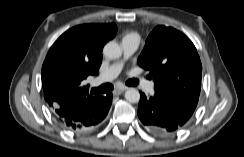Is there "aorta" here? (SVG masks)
<instances>
[{
  "instance_id": "obj_1",
  "label": "aorta",
  "mask_w": 244,
  "mask_h": 157,
  "mask_svg": "<svg viewBox=\"0 0 244 157\" xmlns=\"http://www.w3.org/2000/svg\"><path fill=\"white\" fill-rule=\"evenodd\" d=\"M103 53L108 59H118L122 55V48L118 43L110 41L104 46ZM124 96L130 103H137L140 100V93L135 88L127 89Z\"/></svg>"
}]
</instances>
